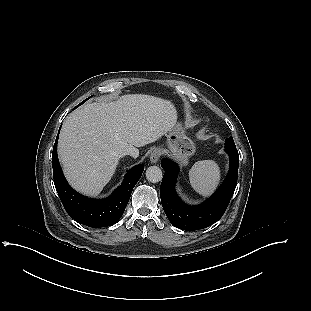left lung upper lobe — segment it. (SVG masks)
<instances>
[{
	"instance_id": "obj_1",
	"label": "left lung upper lobe",
	"mask_w": 311,
	"mask_h": 311,
	"mask_svg": "<svg viewBox=\"0 0 311 311\" xmlns=\"http://www.w3.org/2000/svg\"><path fill=\"white\" fill-rule=\"evenodd\" d=\"M225 148L226 149H236L234 140L232 137H229L226 139V143H225Z\"/></svg>"
}]
</instances>
